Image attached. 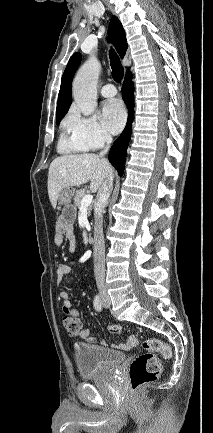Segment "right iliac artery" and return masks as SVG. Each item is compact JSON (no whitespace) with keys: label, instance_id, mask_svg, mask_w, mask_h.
<instances>
[{"label":"right iliac artery","instance_id":"right-iliac-artery-1","mask_svg":"<svg viewBox=\"0 0 213 433\" xmlns=\"http://www.w3.org/2000/svg\"><path fill=\"white\" fill-rule=\"evenodd\" d=\"M93 305H94V308L97 311H101L102 310V301H101V298H100L99 295L95 296L94 301H93Z\"/></svg>","mask_w":213,"mask_h":433}]
</instances>
